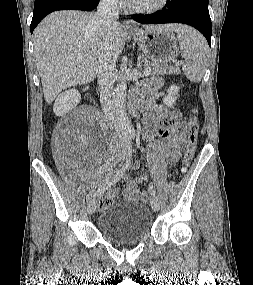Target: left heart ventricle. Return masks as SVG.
<instances>
[{
	"label": "left heart ventricle",
	"instance_id": "obj_1",
	"mask_svg": "<svg viewBox=\"0 0 253 285\" xmlns=\"http://www.w3.org/2000/svg\"><path fill=\"white\" fill-rule=\"evenodd\" d=\"M159 0H131L134 5L137 6H151L158 2Z\"/></svg>",
	"mask_w": 253,
	"mask_h": 285
}]
</instances>
